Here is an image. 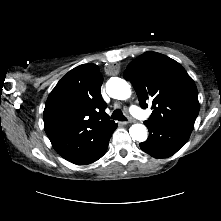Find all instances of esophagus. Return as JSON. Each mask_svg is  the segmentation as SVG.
<instances>
[{
	"instance_id": "34e87169",
	"label": "esophagus",
	"mask_w": 221,
	"mask_h": 221,
	"mask_svg": "<svg viewBox=\"0 0 221 221\" xmlns=\"http://www.w3.org/2000/svg\"><path fill=\"white\" fill-rule=\"evenodd\" d=\"M131 122H132L131 120H128V121L123 122V124H129Z\"/></svg>"
}]
</instances>
